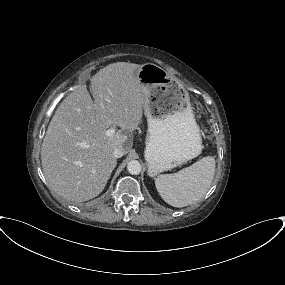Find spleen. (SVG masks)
I'll list each match as a JSON object with an SVG mask.
<instances>
[{"instance_id": "spleen-1", "label": "spleen", "mask_w": 285, "mask_h": 285, "mask_svg": "<svg viewBox=\"0 0 285 285\" xmlns=\"http://www.w3.org/2000/svg\"><path fill=\"white\" fill-rule=\"evenodd\" d=\"M215 159L206 156L177 173L159 175L155 180L161 198L173 207H185L203 198L211 187Z\"/></svg>"}]
</instances>
